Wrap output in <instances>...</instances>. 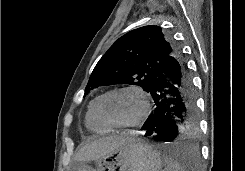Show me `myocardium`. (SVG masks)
<instances>
[{
    "label": "myocardium",
    "mask_w": 245,
    "mask_h": 171,
    "mask_svg": "<svg viewBox=\"0 0 245 171\" xmlns=\"http://www.w3.org/2000/svg\"><path fill=\"white\" fill-rule=\"evenodd\" d=\"M123 91H131V92L136 93L141 100L142 108H141L140 113L134 120L127 122V123H113L110 120H108L103 113V110H102L103 102L107 96L113 93L123 92ZM149 109H150V102H149L148 95L141 87L136 86V85H123V86L112 88L106 91L105 93H103L101 96H99V99L96 105V112H97V116L100 119V121L106 126L113 128V129H127V128H133V127L139 126L146 119L149 113Z\"/></svg>",
    "instance_id": "1"
}]
</instances>
